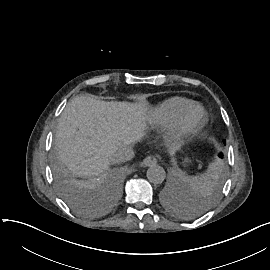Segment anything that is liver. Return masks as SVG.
Wrapping results in <instances>:
<instances>
[{
	"label": "liver",
	"instance_id": "6515ba94",
	"mask_svg": "<svg viewBox=\"0 0 270 270\" xmlns=\"http://www.w3.org/2000/svg\"><path fill=\"white\" fill-rule=\"evenodd\" d=\"M144 113L141 106L76 97L59 118L56 150L74 174H102L120 147L143 135Z\"/></svg>",
	"mask_w": 270,
	"mask_h": 270
}]
</instances>
